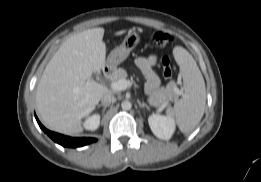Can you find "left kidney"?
Returning <instances> with one entry per match:
<instances>
[{"label":"left kidney","instance_id":"left-kidney-1","mask_svg":"<svg viewBox=\"0 0 261 182\" xmlns=\"http://www.w3.org/2000/svg\"><path fill=\"white\" fill-rule=\"evenodd\" d=\"M148 123L153 134L163 140H169L175 131V121L168 116L152 114Z\"/></svg>","mask_w":261,"mask_h":182}]
</instances>
